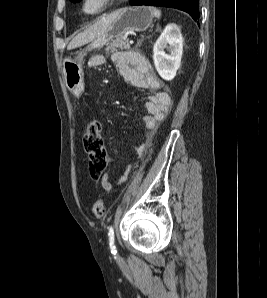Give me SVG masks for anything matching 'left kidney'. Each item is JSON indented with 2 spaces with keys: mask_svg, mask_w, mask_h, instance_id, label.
I'll list each match as a JSON object with an SVG mask.
<instances>
[{
  "mask_svg": "<svg viewBox=\"0 0 267 298\" xmlns=\"http://www.w3.org/2000/svg\"><path fill=\"white\" fill-rule=\"evenodd\" d=\"M167 48L170 54H166ZM154 65L164 80H172L180 67L183 53V37L181 29L174 23L168 24L153 47Z\"/></svg>",
  "mask_w": 267,
  "mask_h": 298,
  "instance_id": "left-kidney-1",
  "label": "left kidney"
}]
</instances>
